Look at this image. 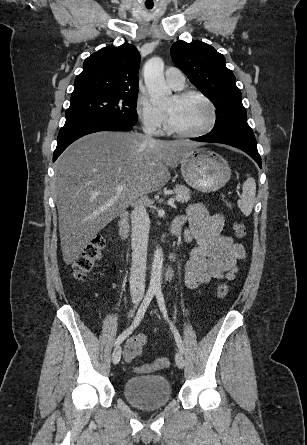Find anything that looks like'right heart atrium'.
Wrapping results in <instances>:
<instances>
[{
	"label": "right heart atrium",
	"instance_id": "1",
	"mask_svg": "<svg viewBox=\"0 0 307 445\" xmlns=\"http://www.w3.org/2000/svg\"><path fill=\"white\" fill-rule=\"evenodd\" d=\"M135 111L143 129L147 133L158 135L162 132L164 116L147 96H138L135 102Z\"/></svg>",
	"mask_w": 307,
	"mask_h": 445
}]
</instances>
